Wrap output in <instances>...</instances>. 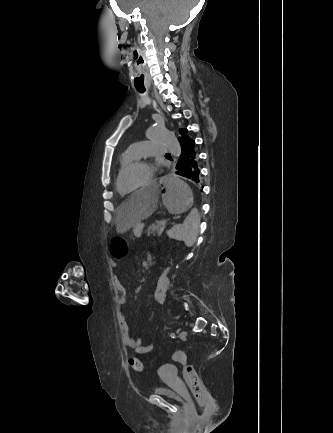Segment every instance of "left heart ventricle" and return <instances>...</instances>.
Segmentation results:
<instances>
[{
    "label": "left heart ventricle",
    "instance_id": "left-heart-ventricle-1",
    "mask_svg": "<svg viewBox=\"0 0 333 433\" xmlns=\"http://www.w3.org/2000/svg\"><path fill=\"white\" fill-rule=\"evenodd\" d=\"M151 166L141 165L126 173L122 180L124 190H133L143 184L150 177Z\"/></svg>",
    "mask_w": 333,
    "mask_h": 433
}]
</instances>
